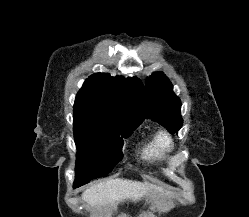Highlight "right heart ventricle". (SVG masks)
<instances>
[{
  "label": "right heart ventricle",
  "instance_id": "right-heart-ventricle-1",
  "mask_svg": "<svg viewBox=\"0 0 249 217\" xmlns=\"http://www.w3.org/2000/svg\"><path fill=\"white\" fill-rule=\"evenodd\" d=\"M173 151V142L164 131H158L153 138L143 147L142 158L148 161L163 160Z\"/></svg>",
  "mask_w": 249,
  "mask_h": 217
}]
</instances>
